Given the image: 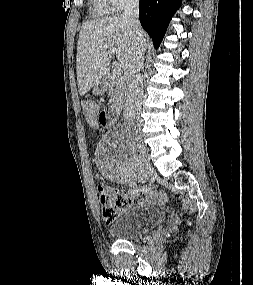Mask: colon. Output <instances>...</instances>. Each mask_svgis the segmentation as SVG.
<instances>
[{
    "label": "colon",
    "instance_id": "5ec220e1",
    "mask_svg": "<svg viewBox=\"0 0 253 285\" xmlns=\"http://www.w3.org/2000/svg\"><path fill=\"white\" fill-rule=\"evenodd\" d=\"M84 114L92 128H99L97 121L99 113L93 104L86 103L84 105ZM98 194L102 205V215L107 223L113 222L120 211L133 204V198L125 191L99 186Z\"/></svg>",
    "mask_w": 253,
    "mask_h": 285
}]
</instances>
